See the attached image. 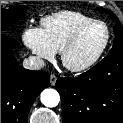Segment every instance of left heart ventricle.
I'll list each match as a JSON object with an SVG mask.
<instances>
[{"label":"left heart ventricle","instance_id":"obj_1","mask_svg":"<svg viewBox=\"0 0 123 123\" xmlns=\"http://www.w3.org/2000/svg\"><path fill=\"white\" fill-rule=\"evenodd\" d=\"M105 39V28L101 25L92 26L83 33L77 44L69 52L68 63L77 66L88 62L102 47Z\"/></svg>","mask_w":123,"mask_h":123}]
</instances>
